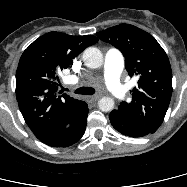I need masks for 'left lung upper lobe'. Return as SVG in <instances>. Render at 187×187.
<instances>
[{
	"mask_svg": "<svg viewBox=\"0 0 187 187\" xmlns=\"http://www.w3.org/2000/svg\"><path fill=\"white\" fill-rule=\"evenodd\" d=\"M96 35L123 53L129 76L139 79L132 101L120 103L116 111L154 133L164 120L172 95V70L165 51L153 36L130 24Z\"/></svg>",
	"mask_w": 187,
	"mask_h": 187,
	"instance_id": "left-lung-upper-lobe-1",
	"label": "left lung upper lobe"
}]
</instances>
